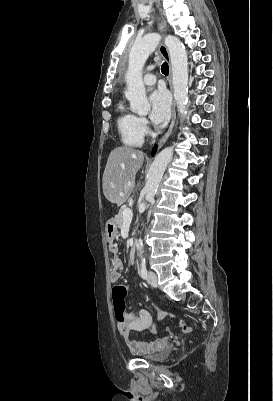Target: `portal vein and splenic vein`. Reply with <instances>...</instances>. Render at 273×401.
Instances as JSON below:
<instances>
[{
	"label": "portal vein and splenic vein",
	"instance_id": "1",
	"mask_svg": "<svg viewBox=\"0 0 273 401\" xmlns=\"http://www.w3.org/2000/svg\"><path fill=\"white\" fill-rule=\"evenodd\" d=\"M120 194H124V192H120ZM133 213L131 209H124L123 211V219L124 221H127V223H130L132 221Z\"/></svg>",
	"mask_w": 273,
	"mask_h": 401
}]
</instances>
